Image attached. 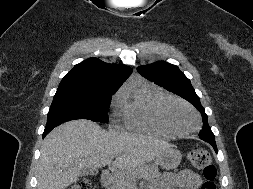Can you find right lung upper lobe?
Wrapping results in <instances>:
<instances>
[{"label": "right lung upper lobe", "mask_w": 253, "mask_h": 189, "mask_svg": "<svg viewBox=\"0 0 253 189\" xmlns=\"http://www.w3.org/2000/svg\"><path fill=\"white\" fill-rule=\"evenodd\" d=\"M132 69L125 65L108 64L97 58H89L69 71L59 88L116 89L131 75Z\"/></svg>", "instance_id": "1"}]
</instances>
